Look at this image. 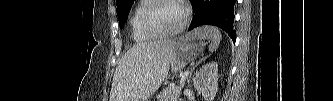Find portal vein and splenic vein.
Masks as SVG:
<instances>
[{
  "mask_svg": "<svg viewBox=\"0 0 333 101\" xmlns=\"http://www.w3.org/2000/svg\"><path fill=\"white\" fill-rule=\"evenodd\" d=\"M186 77H187V73L184 74V75L181 77V80H180V86H184V82H185Z\"/></svg>",
  "mask_w": 333,
  "mask_h": 101,
  "instance_id": "18ae733b",
  "label": "portal vein and splenic vein"
}]
</instances>
